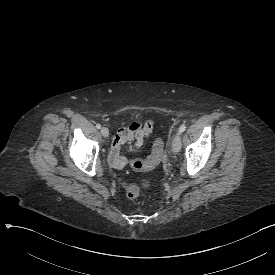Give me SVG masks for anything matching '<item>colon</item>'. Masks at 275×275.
<instances>
[{
	"mask_svg": "<svg viewBox=\"0 0 275 275\" xmlns=\"http://www.w3.org/2000/svg\"><path fill=\"white\" fill-rule=\"evenodd\" d=\"M164 151V144L162 141L157 140L153 144V149L149 153L147 160L138 159L136 161H130L129 167L136 168L137 170H150L157 165L160 155ZM150 186V181L143 180L138 184H130L126 187V196L131 199H136L139 197L141 192Z\"/></svg>",
	"mask_w": 275,
	"mask_h": 275,
	"instance_id": "5ec220e1",
	"label": "colon"
}]
</instances>
